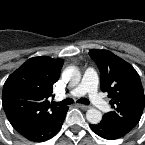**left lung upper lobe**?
I'll return each instance as SVG.
<instances>
[{
    "label": "left lung upper lobe",
    "instance_id": "1",
    "mask_svg": "<svg viewBox=\"0 0 145 145\" xmlns=\"http://www.w3.org/2000/svg\"><path fill=\"white\" fill-rule=\"evenodd\" d=\"M89 55L99 68L101 90L111 98L112 111L101 123L128 133L138 124L145 104L140 77L130 64L108 50L93 49Z\"/></svg>",
    "mask_w": 145,
    "mask_h": 145
}]
</instances>
